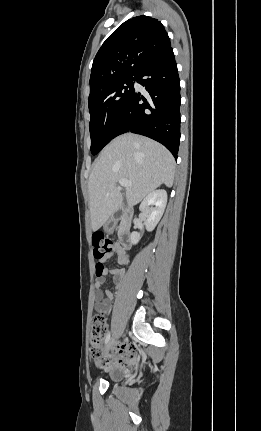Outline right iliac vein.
Returning <instances> with one entry per match:
<instances>
[{
    "mask_svg": "<svg viewBox=\"0 0 261 431\" xmlns=\"http://www.w3.org/2000/svg\"><path fill=\"white\" fill-rule=\"evenodd\" d=\"M114 343H115V340H114V338H112L106 346V349L104 351L105 354H107L112 349Z\"/></svg>",
    "mask_w": 261,
    "mask_h": 431,
    "instance_id": "right-iliac-vein-1",
    "label": "right iliac vein"
}]
</instances>
